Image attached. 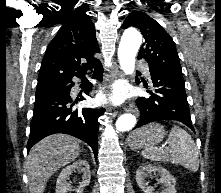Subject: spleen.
Here are the masks:
<instances>
[{
    "label": "spleen",
    "mask_w": 221,
    "mask_h": 193,
    "mask_svg": "<svg viewBox=\"0 0 221 193\" xmlns=\"http://www.w3.org/2000/svg\"><path fill=\"white\" fill-rule=\"evenodd\" d=\"M169 149L157 147L146 148L142 155L150 161L171 162L182 165L192 171L199 168L198 150L192 137L179 126L171 128L168 137Z\"/></svg>",
    "instance_id": "obj_1"
}]
</instances>
